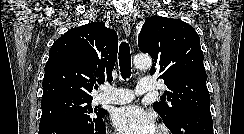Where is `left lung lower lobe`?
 Masks as SVG:
<instances>
[{"instance_id":"1","label":"left lung lower lobe","mask_w":244,"mask_h":134,"mask_svg":"<svg viewBox=\"0 0 244 134\" xmlns=\"http://www.w3.org/2000/svg\"><path fill=\"white\" fill-rule=\"evenodd\" d=\"M166 126L172 134H213L212 117L199 112H183Z\"/></svg>"}]
</instances>
